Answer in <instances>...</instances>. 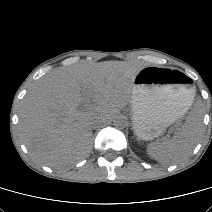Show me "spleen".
<instances>
[{
    "mask_svg": "<svg viewBox=\"0 0 212 212\" xmlns=\"http://www.w3.org/2000/svg\"><path fill=\"white\" fill-rule=\"evenodd\" d=\"M201 130V122L194 121V119L189 117L182 130L176 136L162 143L149 144L147 153L160 163L175 164L191 154Z\"/></svg>",
    "mask_w": 212,
    "mask_h": 212,
    "instance_id": "obj_1",
    "label": "spleen"
}]
</instances>
